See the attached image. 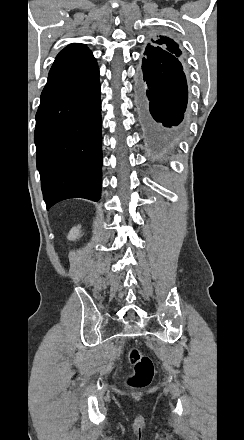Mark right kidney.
Listing matches in <instances>:
<instances>
[{
  "label": "right kidney",
  "mask_w": 244,
  "mask_h": 440,
  "mask_svg": "<svg viewBox=\"0 0 244 440\" xmlns=\"http://www.w3.org/2000/svg\"><path fill=\"white\" fill-rule=\"evenodd\" d=\"M80 228L81 226H76V228H72L67 236L68 240H78L80 236Z\"/></svg>",
  "instance_id": "1"
}]
</instances>
